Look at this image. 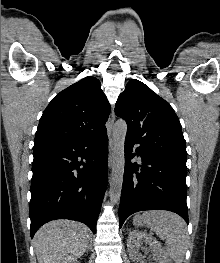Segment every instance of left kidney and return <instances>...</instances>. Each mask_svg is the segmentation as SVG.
Here are the masks:
<instances>
[{
  "label": "left kidney",
  "instance_id": "obj_1",
  "mask_svg": "<svg viewBox=\"0 0 220 263\" xmlns=\"http://www.w3.org/2000/svg\"><path fill=\"white\" fill-rule=\"evenodd\" d=\"M145 242L149 244L151 251L153 252L154 260L158 263H172L167 253L162 248L161 244L155 240L152 236L147 235L144 232L132 231L127 239L128 253L132 260L141 261L142 257L139 253L140 244Z\"/></svg>",
  "mask_w": 220,
  "mask_h": 263
}]
</instances>
